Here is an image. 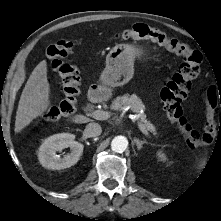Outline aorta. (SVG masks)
<instances>
[{"label":"aorta","instance_id":"1","mask_svg":"<svg viewBox=\"0 0 221 221\" xmlns=\"http://www.w3.org/2000/svg\"><path fill=\"white\" fill-rule=\"evenodd\" d=\"M128 146V140L124 136H116L111 142V148L114 152L122 153Z\"/></svg>","mask_w":221,"mask_h":221}]
</instances>
